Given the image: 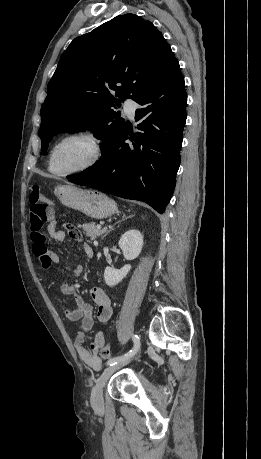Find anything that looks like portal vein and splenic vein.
I'll use <instances>...</instances> for the list:
<instances>
[{
	"label": "portal vein and splenic vein",
	"mask_w": 261,
	"mask_h": 459,
	"mask_svg": "<svg viewBox=\"0 0 261 459\" xmlns=\"http://www.w3.org/2000/svg\"><path fill=\"white\" fill-rule=\"evenodd\" d=\"M97 228L101 229L102 227H101V225H97ZM104 230H106V228H104Z\"/></svg>",
	"instance_id": "obj_1"
}]
</instances>
